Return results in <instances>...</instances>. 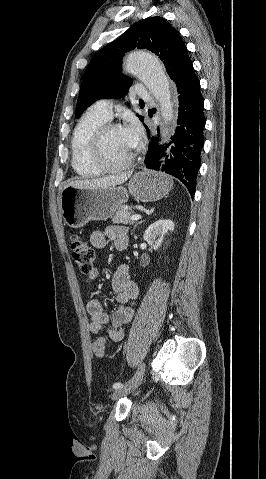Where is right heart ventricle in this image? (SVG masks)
<instances>
[{"instance_id": "right-heart-ventricle-1", "label": "right heart ventricle", "mask_w": 266, "mask_h": 479, "mask_svg": "<svg viewBox=\"0 0 266 479\" xmlns=\"http://www.w3.org/2000/svg\"><path fill=\"white\" fill-rule=\"evenodd\" d=\"M108 120L89 110L74 129L71 149L72 166L82 177L92 178L103 173L89 158V147L94 132Z\"/></svg>"}]
</instances>
